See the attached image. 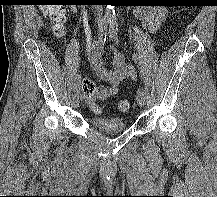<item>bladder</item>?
<instances>
[{
	"label": "bladder",
	"instance_id": "bladder-1",
	"mask_svg": "<svg viewBox=\"0 0 217 197\" xmlns=\"http://www.w3.org/2000/svg\"><path fill=\"white\" fill-rule=\"evenodd\" d=\"M91 124L96 130L106 134H116L126 130L124 120L118 116L109 118L97 117L91 120Z\"/></svg>",
	"mask_w": 217,
	"mask_h": 197
}]
</instances>
